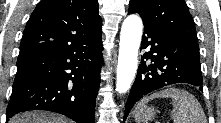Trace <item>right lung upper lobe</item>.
<instances>
[{"instance_id":"cb5924a9","label":"right lung upper lobe","mask_w":221,"mask_h":123,"mask_svg":"<svg viewBox=\"0 0 221 123\" xmlns=\"http://www.w3.org/2000/svg\"><path fill=\"white\" fill-rule=\"evenodd\" d=\"M101 27L97 0H41L26 24L19 56L94 39Z\"/></svg>"}]
</instances>
